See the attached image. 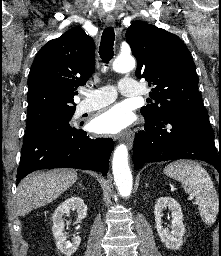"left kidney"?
Returning a JSON list of instances; mask_svg holds the SVG:
<instances>
[{"label":"left kidney","instance_id":"obj_1","mask_svg":"<svg viewBox=\"0 0 221 256\" xmlns=\"http://www.w3.org/2000/svg\"><path fill=\"white\" fill-rule=\"evenodd\" d=\"M167 208L171 211L172 216L171 231L162 226V211ZM154 215L157 232L161 241L168 249H179L183 244V235L185 233L180 204L171 197H160L155 204Z\"/></svg>","mask_w":221,"mask_h":256}]
</instances>
